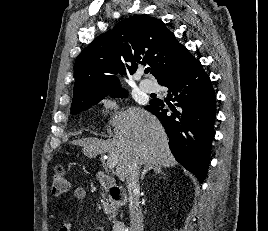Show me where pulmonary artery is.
<instances>
[{
	"label": "pulmonary artery",
	"instance_id": "obj_1",
	"mask_svg": "<svg viewBox=\"0 0 268 231\" xmlns=\"http://www.w3.org/2000/svg\"><path fill=\"white\" fill-rule=\"evenodd\" d=\"M139 87L141 91L145 93H152L153 91H155V85L148 80H142L139 83Z\"/></svg>",
	"mask_w": 268,
	"mask_h": 231
}]
</instances>
